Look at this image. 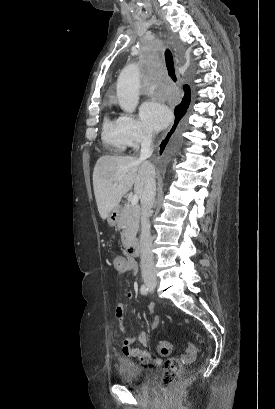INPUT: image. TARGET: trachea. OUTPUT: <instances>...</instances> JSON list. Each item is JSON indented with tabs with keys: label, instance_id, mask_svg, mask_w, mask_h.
<instances>
[{
	"label": "trachea",
	"instance_id": "3493384b",
	"mask_svg": "<svg viewBox=\"0 0 275 409\" xmlns=\"http://www.w3.org/2000/svg\"><path fill=\"white\" fill-rule=\"evenodd\" d=\"M165 60H166V66H167V69H168L169 76L172 78V80L174 82H176L177 77L175 75V67H174V62H173V56H172L169 49H166V51H165Z\"/></svg>",
	"mask_w": 275,
	"mask_h": 409
}]
</instances>
